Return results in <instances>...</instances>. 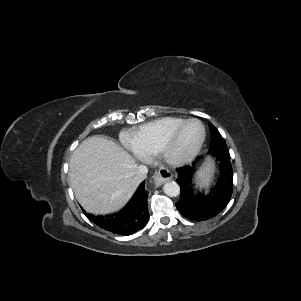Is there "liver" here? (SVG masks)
Instances as JSON below:
<instances>
[{
  "instance_id": "obj_1",
  "label": "liver",
  "mask_w": 301,
  "mask_h": 301,
  "mask_svg": "<svg viewBox=\"0 0 301 301\" xmlns=\"http://www.w3.org/2000/svg\"><path fill=\"white\" fill-rule=\"evenodd\" d=\"M133 157L115 142L102 137L85 139L69 162V180L75 197L89 213L120 210L138 185Z\"/></svg>"
}]
</instances>
